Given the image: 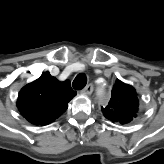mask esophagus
Returning a JSON list of instances; mask_svg holds the SVG:
<instances>
[{
  "mask_svg": "<svg viewBox=\"0 0 164 164\" xmlns=\"http://www.w3.org/2000/svg\"><path fill=\"white\" fill-rule=\"evenodd\" d=\"M93 92V85L92 84H88L83 90L82 93L86 94V95H91Z\"/></svg>",
  "mask_w": 164,
  "mask_h": 164,
  "instance_id": "obj_1",
  "label": "esophagus"
}]
</instances>
